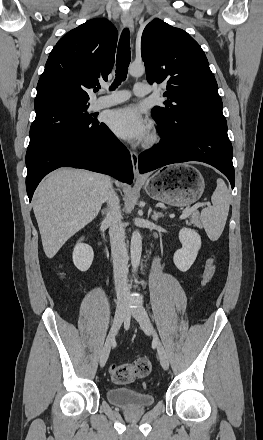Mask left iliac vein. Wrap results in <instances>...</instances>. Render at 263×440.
<instances>
[{
	"instance_id": "obj_1",
	"label": "left iliac vein",
	"mask_w": 263,
	"mask_h": 440,
	"mask_svg": "<svg viewBox=\"0 0 263 440\" xmlns=\"http://www.w3.org/2000/svg\"><path fill=\"white\" fill-rule=\"evenodd\" d=\"M129 312L137 320V322L139 323L141 329L146 334L154 336V330H153V327L151 325L149 316H148L147 312L143 308H137V309H134V310H130ZM154 341H155V344L157 346V351H158V356H159L160 363H161L162 367L165 370H167L169 368V358H168V355H167L164 347L160 343V341L157 338H155Z\"/></svg>"
}]
</instances>
